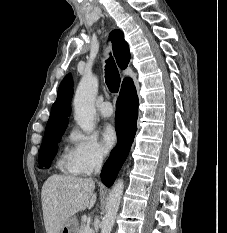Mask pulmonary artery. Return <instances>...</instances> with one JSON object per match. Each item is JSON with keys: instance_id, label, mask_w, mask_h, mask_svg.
Segmentation results:
<instances>
[{"instance_id": "1", "label": "pulmonary artery", "mask_w": 227, "mask_h": 233, "mask_svg": "<svg viewBox=\"0 0 227 233\" xmlns=\"http://www.w3.org/2000/svg\"><path fill=\"white\" fill-rule=\"evenodd\" d=\"M99 112L101 116L108 118L113 114V108L109 101H105L100 104L99 106Z\"/></svg>"}]
</instances>
